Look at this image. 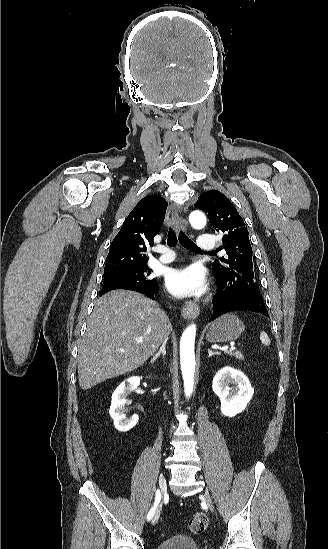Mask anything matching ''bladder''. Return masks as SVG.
<instances>
[{"mask_svg": "<svg viewBox=\"0 0 328 549\" xmlns=\"http://www.w3.org/2000/svg\"><path fill=\"white\" fill-rule=\"evenodd\" d=\"M156 549H198L189 535L177 534L159 543Z\"/></svg>", "mask_w": 328, "mask_h": 549, "instance_id": "bladder-1", "label": "bladder"}]
</instances>
